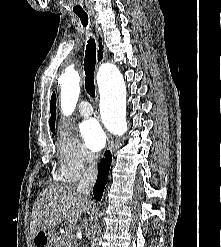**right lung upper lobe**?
I'll return each instance as SVG.
<instances>
[{"label":"right lung upper lobe","mask_w":221,"mask_h":247,"mask_svg":"<svg viewBox=\"0 0 221 247\" xmlns=\"http://www.w3.org/2000/svg\"><path fill=\"white\" fill-rule=\"evenodd\" d=\"M50 130L55 132V119H56V101H55V92L52 94L50 101Z\"/></svg>","instance_id":"1"}]
</instances>
